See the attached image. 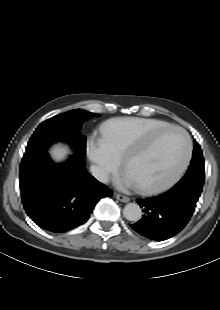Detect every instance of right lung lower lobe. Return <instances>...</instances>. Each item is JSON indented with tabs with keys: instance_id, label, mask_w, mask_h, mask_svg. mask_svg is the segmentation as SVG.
Masks as SVG:
<instances>
[{
	"instance_id": "1",
	"label": "right lung lower lobe",
	"mask_w": 220,
	"mask_h": 310,
	"mask_svg": "<svg viewBox=\"0 0 220 310\" xmlns=\"http://www.w3.org/2000/svg\"><path fill=\"white\" fill-rule=\"evenodd\" d=\"M84 154L54 164L46 150L26 155L20 166L24 209L41 228L66 232L85 223L96 203L112 191L87 173Z\"/></svg>"
}]
</instances>
